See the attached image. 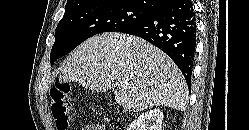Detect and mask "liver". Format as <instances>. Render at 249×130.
Masks as SVG:
<instances>
[{
	"instance_id": "liver-1",
	"label": "liver",
	"mask_w": 249,
	"mask_h": 130,
	"mask_svg": "<svg viewBox=\"0 0 249 130\" xmlns=\"http://www.w3.org/2000/svg\"><path fill=\"white\" fill-rule=\"evenodd\" d=\"M105 92L127 111L153 106L185 110L189 91L177 65L145 40L107 32L80 44L66 59L59 82Z\"/></svg>"
}]
</instances>
